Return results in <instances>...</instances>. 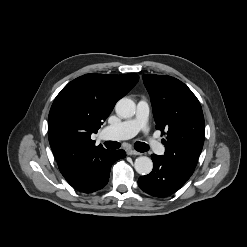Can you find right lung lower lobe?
I'll return each instance as SVG.
<instances>
[{"label": "right lung lower lobe", "instance_id": "obj_1", "mask_svg": "<svg viewBox=\"0 0 247 247\" xmlns=\"http://www.w3.org/2000/svg\"><path fill=\"white\" fill-rule=\"evenodd\" d=\"M123 150H109L101 160L93 164L87 172L73 183V188L84 193H92L102 189L107 183L112 164L120 158H125Z\"/></svg>", "mask_w": 247, "mask_h": 247}]
</instances>
